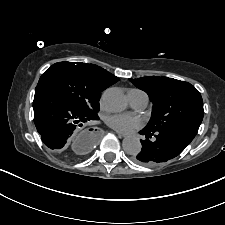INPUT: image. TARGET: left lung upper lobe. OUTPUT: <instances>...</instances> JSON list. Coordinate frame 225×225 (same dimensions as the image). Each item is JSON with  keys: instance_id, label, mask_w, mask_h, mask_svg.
Instances as JSON below:
<instances>
[{"instance_id": "left-lung-upper-lobe-1", "label": "left lung upper lobe", "mask_w": 225, "mask_h": 225, "mask_svg": "<svg viewBox=\"0 0 225 225\" xmlns=\"http://www.w3.org/2000/svg\"><path fill=\"white\" fill-rule=\"evenodd\" d=\"M129 80L145 91L153 103L151 119L145 129L160 132L186 124H201L202 97L190 83L158 76Z\"/></svg>"}]
</instances>
